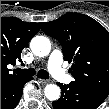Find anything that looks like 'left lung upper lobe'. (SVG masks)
I'll return each mask as SVG.
<instances>
[{
    "mask_svg": "<svg viewBox=\"0 0 109 109\" xmlns=\"http://www.w3.org/2000/svg\"><path fill=\"white\" fill-rule=\"evenodd\" d=\"M41 29L62 45L64 60L73 62L75 81L109 93V32L93 18L67 13L41 22Z\"/></svg>",
    "mask_w": 109,
    "mask_h": 109,
    "instance_id": "left-lung-upper-lobe-1",
    "label": "left lung upper lobe"
}]
</instances>
